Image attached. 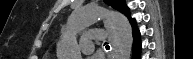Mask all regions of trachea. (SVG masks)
Segmentation results:
<instances>
[{
	"instance_id": "3493384b",
	"label": "trachea",
	"mask_w": 193,
	"mask_h": 59,
	"mask_svg": "<svg viewBox=\"0 0 193 59\" xmlns=\"http://www.w3.org/2000/svg\"><path fill=\"white\" fill-rule=\"evenodd\" d=\"M105 48H106V50H109V49H110V46L105 43Z\"/></svg>"
}]
</instances>
